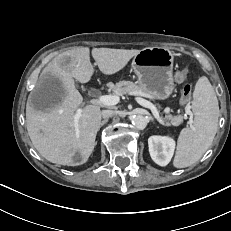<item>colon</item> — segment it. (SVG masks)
<instances>
[{
	"label": "colon",
	"instance_id": "5ec220e1",
	"mask_svg": "<svg viewBox=\"0 0 231 231\" xmlns=\"http://www.w3.org/2000/svg\"><path fill=\"white\" fill-rule=\"evenodd\" d=\"M190 74L189 68L185 67L176 73V79L179 81H184ZM192 87L186 84L181 92L180 102L182 104H188L191 99Z\"/></svg>",
	"mask_w": 231,
	"mask_h": 231
}]
</instances>
